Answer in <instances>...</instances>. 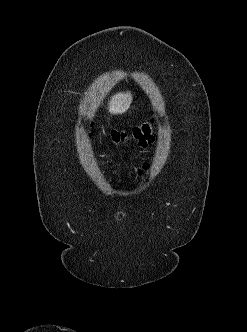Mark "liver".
I'll return each instance as SVG.
<instances>
[{
  "instance_id": "6515ba94",
  "label": "liver",
  "mask_w": 247,
  "mask_h": 332,
  "mask_svg": "<svg viewBox=\"0 0 247 332\" xmlns=\"http://www.w3.org/2000/svg\"><path fill=\"white\" fill-rule=\"evenodd\" d=\"M132 101V94L127 93H117L112 96L109 101L108 109L111 114L118 115L123 114L127 111Z\"/></svg>"
}]
</instances>
